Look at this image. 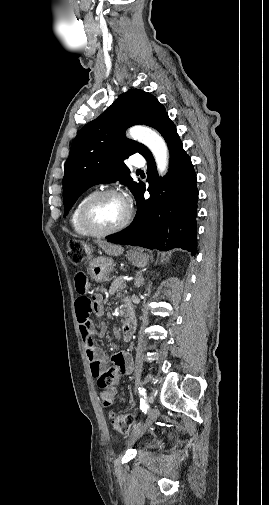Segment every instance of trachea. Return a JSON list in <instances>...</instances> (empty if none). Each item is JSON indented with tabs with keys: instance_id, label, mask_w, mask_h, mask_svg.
Returning <instances> with one entry per match:
<instances>
[{
	"instance_id": "trachea-1",
	"label": "trachea",
	"mask_w": 269,
	"mask_h": 505,
	"mask_svg": "<svg viewBox=\"0 0 269 505\" xmlns=\"http://www.w3.org/2000/svg\"><path fill=\"white\" fill-rule=\"evenodd\" d=\"M137 172H141V170H137Z\"/></svg>"
}]
</instances>
